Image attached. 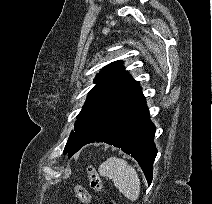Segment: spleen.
I'll use <instances>...</instances> for the list:
<instances>
[{
  "mask_svg": "<svg viewBox=\"0 0 212 204\" xmlns=\"http://www.w3.org/2000/svg\"><path fill=\"white\" fill-rule=\"evenodd\" d=\"M99 174L112 179L116 188L131 201L140 194V179L136 170L123 159L110 157L99 166Z\"/></svg>",
  "mask_w": 212,
  "mask_h": 204,
  "instance_id": "obj_1",
  "label": "spleen"
}]
</instances>
